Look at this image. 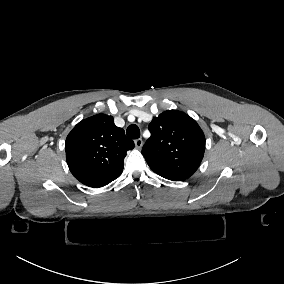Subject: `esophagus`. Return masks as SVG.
I'll list each match as a JSON object with an SVG mask.
<instances>
[{
  "instance_id": "1",
  "label": "esophagus",
  "mask_w": 284,
  "mask_h": 284,
  "mask_svg": "<svg viewBox=\"0 0 284 284\" xmlns=\"http://www.w3.org/2000/svg\"><path fill=\"white\" fill-rule=\"evenodd\" d=\"M134 142L137 148H141L143 146V140L141 138L136 139Z\"/></svg>"
}]
</instances>
